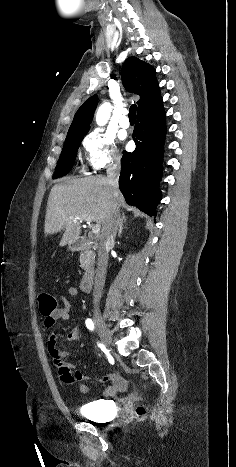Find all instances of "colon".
<instances>
[{
    "label": "colon",
    "instance_id": "5ec220e1",
    "mask_svg": "<svg viewBox=\"0 0 236 467\" xmlns=\"http://www.w3.org/2000/svg\"><path fill=\"white\" fill-rule=\"evenodd\" d=\"M37 302L39 305L40 313L44 316H50L53 312L58 309V303L55 297L47 292H41L37 295ZM137 416H143L145 414V408L138 406L136 408Z\"/></svg>",
    "mask_w": 236,
    "mask_h": 467
}]
</instances>
